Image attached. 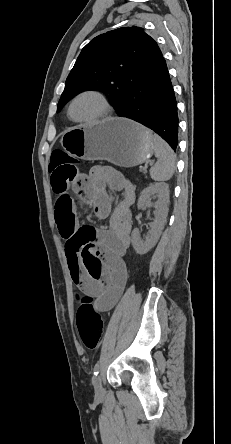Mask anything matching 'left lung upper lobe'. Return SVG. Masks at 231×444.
<instances>
[{"label": "left lung upper lobe", "mask_w": 231, "mask_h": 444, "mask_svg": "<svg viewBox=\"0 0 231 444\" xmlns=\"http://www.w3.org/2000/svg\"><path fill=\"white\" fill-rule=\"evenodd\" d=\"M159 51L156 41L135 26L95 37L82 49L68 75L57 111L78 93L98 90L112 97L119 112L139 74Z\"/></svg>", "instance_id": "obj_1"}]
</instances>
